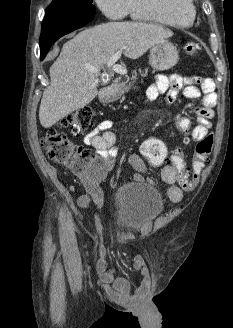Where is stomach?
Wrapping results in <instances>:
<instances>
[{"label":"stomach","instance_id":"stomach-1","mask_svg":"<svg viewBox=\"0 0 233 328\" xmlns=\"http://www.w3.org/2000/svg\"><path fill=\"white\" fill-rule=\"evenodd\" d=\"M179 60L177 48L167 40L154 45L150 50L149 61L151 66L160 71L174 67ZM122 92H119L116 97Z\"/></svg>","mask_w":233,"mask_h":328}]
</instances>
